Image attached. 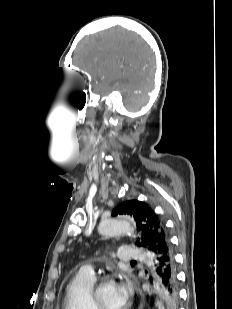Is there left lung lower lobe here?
I'll return each mask as SVG.
<instances>
[{"instance_id": "0a47b994", "label": "left lung lower lobe", "mask_w": 232, "mask_h": 309, "mask_svg": "<svg viewBox=\"0 0 232 309\" xmlns=\"http://www.w3.org/2000/svg\"><path fill=\"white\" fill-rule=\"evenodd\" d=\"M152 257L154 277L150 276L149 280L162 291L166 308L176 309L178 303L176 268L169 238L161 237Z\"/></svg>"}]
</instances>
